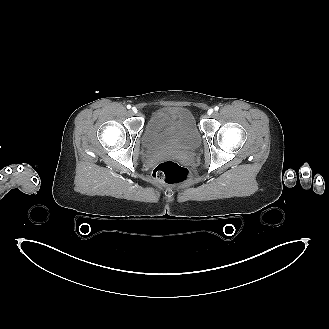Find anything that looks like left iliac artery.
<instances>
[{"label": "left iliac artery", "mask_w": 329, "mask_h": 329, "mask_svg": "<svg viewBox=\"0 0 329 329\" xmlns=\"http://www.w3.org/2000/svg\"><path fill=\"white\" fill-rule=\"evenodd\" d=\"M214 110H215V111H218V110H219V107H218V106H215V107H214Z\"/></svg>", "instance_id": "obj_1"}]
</instances>
